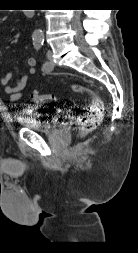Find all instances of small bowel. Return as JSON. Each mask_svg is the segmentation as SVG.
<instances>
[{"mask_svg": "<svg viewBox=\"0 0 138 253\" xmlns=\"http://www.w3.org/2000/svg\"><path fill=\"white\" fill-rule=\"evenodd\" d=\"M27 66L28 74L21 77H15L14 71H10L0 80L1 84L4 86L5 93L9 95L10 101H17L22 98L29 75H33L36 72V60L32 57L28 58ZM12 81L14 82L13 86L10 85Z\"/></svg>", "mask_w": 138, "mask_h": 253, "instance_id": "c3829d8e", "label": "small bowel"}]
</instances>
